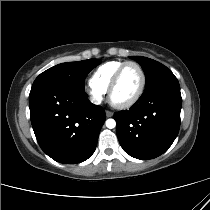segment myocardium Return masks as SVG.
Masks as SVG:
<instances>
[{"label":"myocardium","mask_w":210,"mask_h":210,"mask_svg":"<svg viewBox=\"0 0 210 210\" xmlns=\"http://www.w3.org/2000/svg\"><path fill=\"white\" fill-rule=\"evenodd\" d=\"M129 65H134L138 68V70L141 74V83H140L138 91L131 99H129L128 101L123 102V103H117L112 99V95H113V92H114L118 82H119V79H120V76H121L123 70L125 69V67H127ZM146 82H147L146 73H145L143 67L139 63H137L135 61L124 62L122 65H120L118 67V69L114 73L112 80L109 84L107 94H108V100H109L110 104L117 109H127V108L133 106L143 95L145 87H146Z\"/></svg>","instance_id":"obj_1"}]
</instances>
